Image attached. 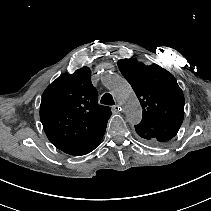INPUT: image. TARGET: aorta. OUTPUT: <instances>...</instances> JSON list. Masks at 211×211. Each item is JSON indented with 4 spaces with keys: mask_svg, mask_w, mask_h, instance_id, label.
I'll return each mask as SVG.
<instances>
[{
    "mask_svg": "<svg viewBox=\"0 0 211 211\" xmlns=\"http://www.w3.org/2000/svg\"><path fill=\"white\" fill-rule=\"evenodd\" d=\"M106 86L117 101L124 106L127 120L132 124L139 123L142 118V109L130 84L124 78L109 76Z\"/></svg>",
    "mask_w": 211,
    "mask_h": 211,
    "instance_id": "obj_1",
    "label": "aorta"
}]
</instances>
